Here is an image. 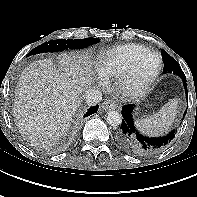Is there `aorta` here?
Listing matches in <instances>:
<instances>
[{
  "instance_id": "762f6f07",
  "label": "aorta",
  "mask_w": 197,
  "mask_h": 197,
  "mask_svg": "<svg viewBox=\"0 0 197 197\" xmlns=\"http://www.w3.org/2000/svg\"><path fill=\"white\" fill-rule=\"evenodd\" d=\"M106 121L111 126H118L122 123V116L117 111H109L106 116Z\"/></svg>"
}]
</instances>
